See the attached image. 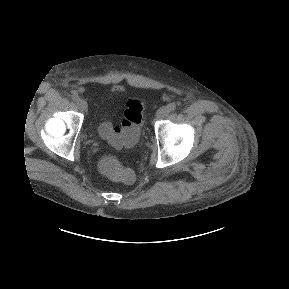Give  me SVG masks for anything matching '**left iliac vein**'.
<instances>
[{"label":"left iliac vein","instance_id":"4c4485c4","mask_svg":"<svg viewBox=\"0 0 289 289\" xmlns=\"http://www.w3.org/2000/svg\"><path fill=\"white\" fill-rule=\"evenodd\" d=\"M169 113V109L167 106H163L161 108H159L156 112V119H162L164 118L165 116H167Z\"/></svg>","mask_w":289,"mask_h":289}]
</instances>
